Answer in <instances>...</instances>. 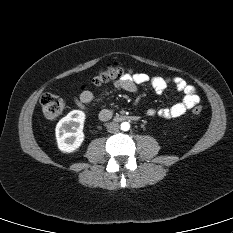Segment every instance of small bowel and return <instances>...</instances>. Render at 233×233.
Wrapping results in <instances>:
<instances>
[{"label":"small bowel","instance_id":"small-bowel-1","mask_svg":"<svg viewBox=\"0 0 233 233\" xmlns=\"http://www.w3.org/2000/svg\"><path fill=\"white\" fill-rule=\"evenodd\" d=\"M149 83L151 87L155 90L156 93H163L169 84H174L176 90L180 93L184 94V98L182 101L175 103L169 107H164L158 110L148 109L147 114L149 116L157 115L164 119H172L177 118L186 113L189 109L194 107L200 100L196 89L194 86L187 83L185 79L182 77H161L154 76L150 77L146 73H135L133 75H125L120 80L114 83V87L118 89H123L128 92L136 93L138 91V86ZM105 92H103L104 94ZM94 99V95L89 90H84L81 92L76 98V105L85 110L89 108L92 101ZM113 115V110L111 109H103L100 112V118L105 120L104 118H111Z\"/></svg>","mask_w":233,"mask_h":233}]
</instances>
